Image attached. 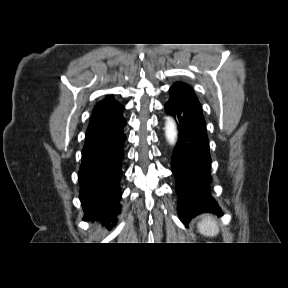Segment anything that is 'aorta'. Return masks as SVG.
<instances>
[{"mask_svg": "<svg viewBox=\"0 0 288 288\" xmlns=\"http://www.w3.org/2000/svg\"><path fill=\"white\" fill-rule=\"evenodd\" d=\"M165 136L170 145H175L177 141V127L172 117H167L165 122Z\"/></svg>", "mask_w": 288, "mask_h": 288, "instance_id": "obj_1", "label": "aorta"}]
</instances>
